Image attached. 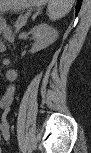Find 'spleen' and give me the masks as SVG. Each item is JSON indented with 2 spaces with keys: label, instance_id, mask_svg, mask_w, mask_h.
<instances>
[{
  "label": "spleen",
  "instance_id": "3e777b00",
  "mask_svg": "<svg viewBox=\"0 0 91 153\" xmlns=\"http://www.w3.org/2000/svg\"><path fill=\"white\" fill-rule=\"evenodd\" d=\"M72 0H49L47 13L51 19H59L66 15L72 8Z\"/></svg>",
  "mask_w": 91,
  "mask_h": 153
}]
</instances>
